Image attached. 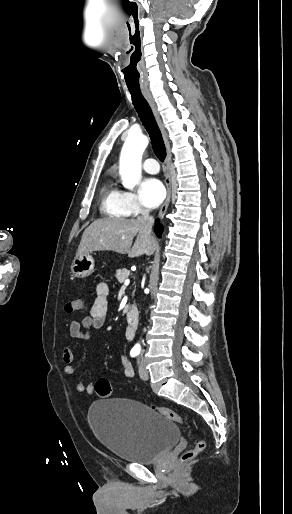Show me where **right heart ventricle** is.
Segmentation results:
<instances>
[{
	"mask_svg": "<svg viewBox=\"0 0 292 514\" xmlns=\"http://www.w3.org/2000/svg\"><path fill=\"white\" fill-rule=\"evenodd\" d=\"M100 212L105 217L119 218L127 213L122 202L121 191L111 180L105 181L99 190Z\"/></svg>",
	"mask_w": 292,
	"mask_h": 514,
	"instance_id": "right-heart-ventricle-1",
	"label": "right heart ventricle"
}]
</instances>
